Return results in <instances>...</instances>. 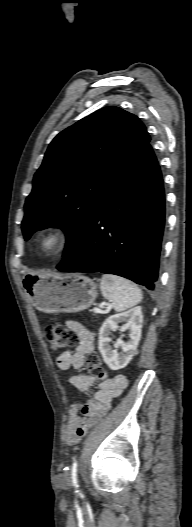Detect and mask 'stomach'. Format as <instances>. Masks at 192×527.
Returning a JSON list of instances; mask_svg holds the SVG:
<instances>
[{
  "label": "stomach",
  "mask_w": 192,
  "mask_h": 527,
  "mask_svg": "<svg viewBox=\"0 0 192 527\" xmlns=\"http://www.w3.org/2000/svg\"><path fill=\"white\" fill-rule=\"evenodd\" d=\"M24 287L36 309L45 313H76L89 308L98 296L89 277L39 274L24 278Z\"/></svg>",
  "instance_id": "1"
}]
</instances>
